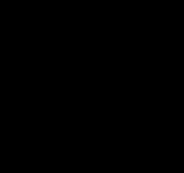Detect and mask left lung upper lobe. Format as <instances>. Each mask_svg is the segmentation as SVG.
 <instances>
[{
    "mask_svg": "<svg viewBox=\"0 0 184 173\" xmlns=\"http://www.w3.org/2000/svg\"><path fill=\"white\" fill-rule=\"evenodd\" d=\"M124 128L156 146L165 129L168 106L163 82L151 62L130 49L123 61Z\"/></svg>",
    "mask_w": 184,
    "mask_h": 173,
    "instance_id": "obj_1",
    "label": "left lung upper lobe"
}]
</instances>
